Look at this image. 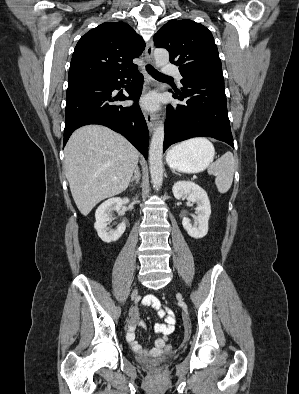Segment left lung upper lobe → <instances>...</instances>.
I'll use <instances>...</instances> for the list:
<instances>
[{
	"label": "left lung upper lobe",
	"mask_w": 299,
	"mask_h": 394,
	"mask_svg": "<svg viewBox=\"0 0 299 394\" xmlns=\"http://www.w3.org/2000/svg\"><path fill=\"white\" fill-rule=\"evenodd\" d=\"M156 47L169 51L183 80L197 76L223 78L221 60L212 33L192 20H171L155 35Z\"/></svg>",
	"instance_id": "5c2ea615"
}]
</instances>
